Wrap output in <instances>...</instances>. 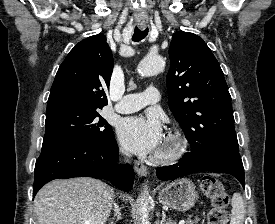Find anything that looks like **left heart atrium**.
Here are the masks:
<instances>
[{"instance_id":"left-heart-atrium-1","label":"left heart atrium","mask_w":275,"mask_h":224,"mask_svg":"<svg viewBox=\"0 0 275 224\" xmlns=\"http://www.w3.org/2000/svg\"><path fill=\"white\" fill-rule=\"evenodd\" d=\"M121 144L136 154L158 149L163 141L162 127L156 116H133L122 119L117 128Z\"/></svg>"}]
</instances>
